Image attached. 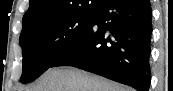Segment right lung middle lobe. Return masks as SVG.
<instances>
[{"label": "right lung middle lobe", "mask_w": 173, "mask_h": 91, "mask_svg": "<svg viewBox=\"0 0 173 91\" xmlns=\"http://www.w3.org/2000/svg\"><path fill=\"white\" fill-rule=\"evenodd\" d=\"M94 10L72 13L45 20L24 28L20 35L23 54L21 82L42 75L86 32Z\"/></svg>", "instance_id": "dd1d6c3e"}]
</instances>
